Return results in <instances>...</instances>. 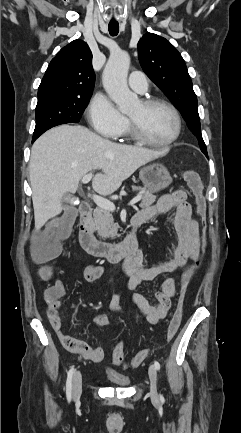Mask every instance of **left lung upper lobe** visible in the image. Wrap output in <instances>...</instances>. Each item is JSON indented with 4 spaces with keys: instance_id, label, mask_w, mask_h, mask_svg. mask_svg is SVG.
<instances>
[{
    "instance_id": "left-lung-upper-lobe-1",
    "label": "left lung upper lobe",
    "mask_w": 241,
    "mask_h": 433,
    "mask_svg": "<svg viewBox=\"0 0 241 433\" xmlns=\"http://www.w3.org/2000/svg\"><path fill=\"white\" fill-rule=\"evenodd\" d=\"M138 57L147 76L180 109L188 128L197 137L201 151L206 153L197 97L181 54L165 38L147 33L138 42Z\"/></svg>"
}]
</instances>
